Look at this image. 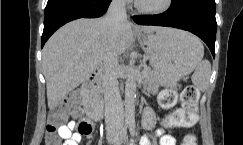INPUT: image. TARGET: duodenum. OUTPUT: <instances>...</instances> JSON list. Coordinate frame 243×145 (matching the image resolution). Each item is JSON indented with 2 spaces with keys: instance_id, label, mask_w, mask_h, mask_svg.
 Listing matches in <instances>:
<instances>
[{
  "instance_id": "410a0bca",
  "label": "duodenum",
  "mask_w": 243,
  "mask_h": 145,
  "mask_svg": "<svg viewBox=\"0 0 243 145\" xmlns=\"http://www.w3.org/2000/svg\"><path fill=\"white\" fill-rule=\"evenodd\" d=\"M101 70L96 69L87 78L82 87V95L86 114L89 118L98 121L103 116L104 101L98 93L97 82Z\"/></svg>"
}]
</instances>
